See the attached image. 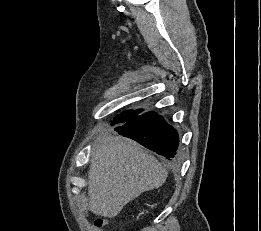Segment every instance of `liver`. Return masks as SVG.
Here are the masks:
<instances>
[{"label": "liver", "mask_w": 261, "mask_h": 231, "mask_svg": "<svg viewBox=\"0 0 261 231\" xmlns=\"http://www.w3.org/2000/svg\"><path fill=\"white\" fill-rule=\"evenodd\" d=\"M167 175L135 141L101 136L94 144L88 173L90 210L97 216L115 217L141 193L162 186Z\"/></svg>", "instance_id": "1"}]
</instances>
